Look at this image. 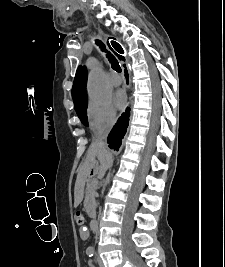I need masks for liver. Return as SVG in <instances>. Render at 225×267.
<instances>
[{
    "instance_id": "liver-1",
    "label": "liver",
    "mask_w": 225,
    "mask_h": 267,
    "mask_svg": "<svg viewBox=\"0 0 225 267\" xmlns=\"http://www.w3.org/2000/svg\"><path fill=\"white\" fill-rule=\"evenodd\" d=\"M96 157L100 162L99 166L96 165ZM111 161L112 156L107 150L101 148L96 142H93L90 145L86 160L80 166L78 171L74 193L75 207H77L83 199L85 178L90 174L91 169L95 168L96 172L98 173V177L102 178Z\"/></svg>"
}]
</instances>
